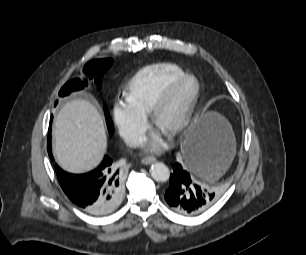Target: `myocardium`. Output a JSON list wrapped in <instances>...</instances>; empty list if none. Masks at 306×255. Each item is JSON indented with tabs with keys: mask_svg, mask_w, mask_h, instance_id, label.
Wrapping results in <instances>:
<instances>
[{
	"mask_svg": "<svg viewBox=\"0 0 306 255\" xmlns=\"http://www.w3.org/2000/svg\"><path fill=\"white\" fill-rule=\"evenodd\" d=\"M188 83L193 84V91L188 97L178 119L173 124H171L165 131L169 132L170 134H177L187 128L191 121L201 93L200 82L193 75L183 76L182 78L174 82L158 97V99L155 101L149 111L150 121L153 125L157 126L158 119L164 108Z\"/></svg>",
	"mask_w": 306,
	"mask_h": 255,
	"instance_id": "obj_1",
	"label": "myocardium"
}]
</instances>
